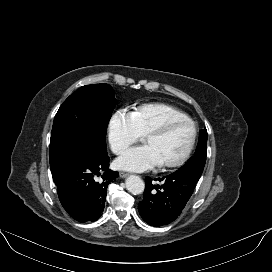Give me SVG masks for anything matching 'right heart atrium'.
<instances>
[{
  "mask_svg": "<svg viewBox=\"0 0 272 272\" xmlns=\"http://www.w3.org/2000/svg\"><path fill=\"white\" fill-rule=\"evenodd\" d=\"M141 136L132 112L118 109L111 114L107 124V140L115 154L123 152Z\"/></svg>",
  "mask_w": 272,
  "mask_h": 272,
  "instance_id": "1",
  "label": "right heart atrium"
}]
</instances>
